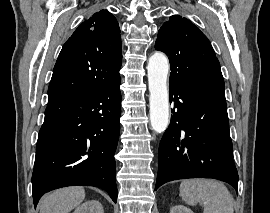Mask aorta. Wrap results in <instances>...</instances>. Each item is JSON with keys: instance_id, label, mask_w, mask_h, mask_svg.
Wrapping results in <instances>:
<instances>
[{"instance_id": "762f6f07", "label": "aorta", "mask_w": 270, "mask_h": 213, "mask_svg": "<svg viewBox=\"0 0 270 213\" xmlns=\"http://www.w3.org/2000/svg\"><path fill=\"white\" fill-rule=\"evenodd\" d=\"M148 85L150 122L157 133L164 132L169 125V96L167 76L169 62L161 52H155L148 62Z\"/></svg>"}]
</instances>
